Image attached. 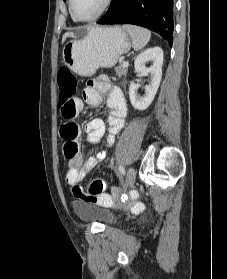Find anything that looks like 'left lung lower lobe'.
<instances>
[{"label": "left lung lower lobe", "mask_w": 227, "mask_h": 279, "mask_svg": "<svg viewBox=\"0 0 227 279\" xmlns=\"http://www.w3.org/2000/svg\"><path fill=\"white\" fill-rule=\"evenodd\" d=\"M98 24H134L173 43V0H112Z\"/></svg>", "instance_id": "obj_1"}]
</instances>
